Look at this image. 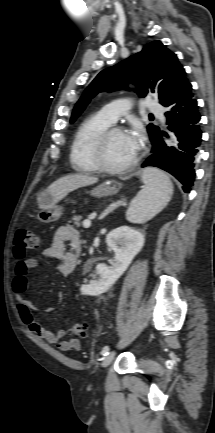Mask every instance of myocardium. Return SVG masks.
Returning <instances> with one entry per match:
<instances>
[{"mask_svg": "<svg viewBox=\"0 0 215 433\" xmlns=\"http://www.w3.org/2000/svg\"><path fill=\"white\" fill-rule=\"evenodd\" d=\"M114 133H125V130L121 126L111 125L105 129L95 140L93 145V160L98 170L109 173V174H122L134 169L139 160V153L133 158L131 162L124 166L112 167L105 159V149L107 142L111 135Z\"/></svg>", "mask_w": 215, "mask_h": 433, "instance_id": "f54148a6", "label": "myocardium"}]
</instances>
